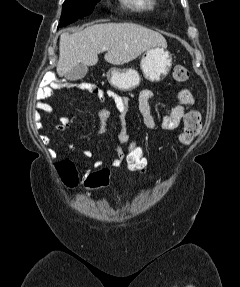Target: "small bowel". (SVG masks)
I'll return each mask as SVG.
<instances>
[{
  "mask_svg": "<svg viewBox=\"0 0 240 287\" xmlns=\"http://www.w3.org/2000/svg\"><path fill=\"white\" fill-rule=\"evenodd\" d=\"M61 87H70L65 84L58 83L52 80L51 77L46 79V84L38 88L35 94L36 107L39 111L45 113H53L55 107L47 102V99L54 96V91ZM90 93L97 97L100 101L104 102L107 98H110L118 113L119 120L122 126L121 132L118 137V146L116 154L111 162V168H118L125 164V148L128 143V134H127V113L129 109V98L119 95L114 91L107 90L103 91L97 86H92L89 89ZM152 98V92L148 89L142 90L138 98V110L142 116L145 127L153 131L156 129L157 122L155 117L152 114L151 107L149 104L150 99ZM194 98L191 92L187 89H184L178 93V104L172 108V110L165 114L159 125L162 129L168 131L177 130L184 120L186 113L189 108L194 105ZM111 118V112L109 109H102L98 113L99 119V131L104 133L107 129L108 122ZM74 118L70 116H62L59 119V124L57 125V131L64 133L66 132L73 124ZM44 142L48 143L50 139L48 137H43ZM73 147V146H72ZM82 157L86 162L92 161L91 165L87 167V172L90 174L93 170L100 169L103 166V161L101 159H93V153L88 149H83L81 151ZM105 170L110 171L108 168Z\"/></svg>",
  "mask_w": 240,
  "mask_h": 287,
  "instance_id": "1",
  "label": "small bowel"
}]
</instances>
